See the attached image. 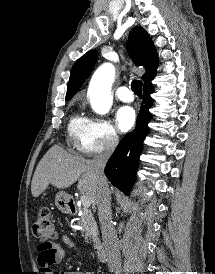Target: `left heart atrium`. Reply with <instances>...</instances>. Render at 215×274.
I'll use <instances>...</instances> for the list:
<instances>
[{
	"mask_svg": "<svg viewBox=\"0 0 215 274\" xmlns=\"http://www.w3.org/2000/svg\"><path fill=\"white\" fill-rule=\"evenodd\" d=\"M135 119V111L129 106L119 108L115 116L117 127L121 132L130 130L135 123Z\"/></svg>",
	"mask_w": 215,
	"mask_h": 274,
	"instance_id": "1",
	"label": "left heart atrium"
}]
</instances>
